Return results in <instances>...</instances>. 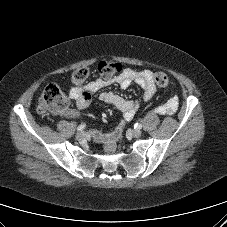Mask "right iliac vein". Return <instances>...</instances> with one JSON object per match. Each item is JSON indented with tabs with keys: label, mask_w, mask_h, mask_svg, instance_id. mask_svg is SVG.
Listing matches in <instances>:
<instances>
[{
	"label": "right iliac vein",
	"mask_w": 227,
	"mask_h": 227,
	"mask_svg": "<svg viewBox=\"0 0 227 227\" xmlns=\"http://www.w3.org/2000/svg\"><path fill=\"white\" fill-rule=\"evenodd\" d=\"M86 138L85 132L81 131L76 134V139L78 141H83Z\"/></svg>",
	"instance_id": "1"
}]
</instances>
